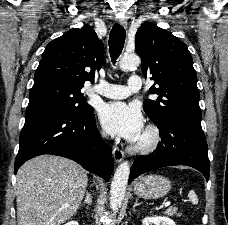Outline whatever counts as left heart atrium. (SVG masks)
<instances>
[{"mask_svg": "<svg viewBox=\"0 0 228 225\" xmlns=\"http://www.w3.org/2000/svg\"><path fill=\"white\" fill-rule=\"evenodd\" d=\"M104 130L111 136L137 141L143 134V118L138 109L124 102H111L99 113Z\"/></svg>", "mask_w": 228, "mask_h": 225, "instance_id": "obj_1", "label": "left heart atrium"}]
</instances>
